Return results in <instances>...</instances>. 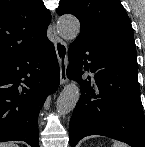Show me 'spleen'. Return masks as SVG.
<instances>
[{
    "mask_svg": "<svg viewBox=\"0 0 145 147\" xmlns=\"http://www.w3.org/2000/svg\"><path fill=\"white\" fill-rule=\"evenodd\" d=\"M113 147H126L124 144L119 143V142H115Z\"/></svg>",
    "mask_w": 145,
    "mask_h": 147,
    "instance_id": "obj_1",
    "label": "spleen"
}]
</instances>
